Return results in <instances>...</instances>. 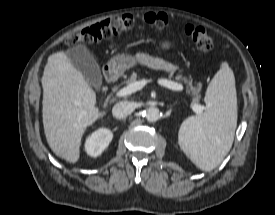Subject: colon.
<instances>
[{
  "label": "colon",
  "mask_w": 275,
  "mask_h": 215,
  "mask_svg": "<svg viewBox=\"0 0 275 215\" xmlns=\"http://www.w3.org/2000/svg\"><path fill=\"white\" fill-rule=\"evenodd\" d=\"M137 24H145L161 30L168 26L169 19L163 13H147L138 17L130 14L117 15L68 36L62 42V45L73 46L79 43H96L129 31ZM184 32L199 50L203 52L213 50V39L202 27L189 24L185 26Z\"/></svg>",
  "instance_id": "obj_1"
}]
</instances>
